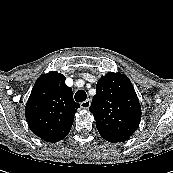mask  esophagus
<instances>
[{
  "label": "esophagus",
  "instance_id": "1",
  "mask_svg": "<svg viewBox=\"0 0 173 173\" xmlns=\"http://www.w3.org/2000/svg\"><path fill=\"white\" fill-rule=\"evenodd\" d=\"M90 105H91V101H90L89 99H87L86 101H84V102H82V103L80 104V106H81L83 109H89Z\"/></svg>",
  "mask_w": 173,
  "mask_h": 173
}]
</instances>
